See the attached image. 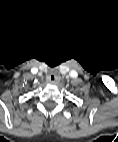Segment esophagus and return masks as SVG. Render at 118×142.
<instances>
[{
    "instance_id": "1",
    "label": "esophagus",
    "mask_w": 118,
    "mask_h": 142,
    "mask_svg": "<svg viewBox=\"0 0 118 142\" xmlns=\"http://www.w3.org/2000/svg\"><path fill=\"white\" fill-rule=\"evenodd\" d=\"M57 79H58L57 76H55L53 74H50L47 77V82L53 84V83H55L57 81Z\"/></svg>"
}]
</instances>
